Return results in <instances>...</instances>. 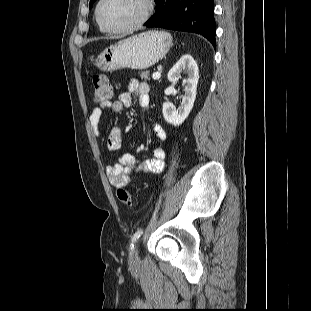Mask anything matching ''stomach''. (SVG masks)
Returning a JSON list of instances; mask_svg holds the SVG:
<instances>
[{"label": "stomach", "mask_w": 311, "mask_h": 311, "mask_svg": "<svg viewBox=\"0 0 311 311\" xmlns=\"http://www.w3.org/2000/svg\"><path fill=\"white\" fill-rule=\"evenodd\" d=\"M172 46L165 31L150 30L120 40L98 55L95 65L102 71L123 68L147 69L160 61Z\"/></svg>", "instance_id": "1"}]
</instances>
